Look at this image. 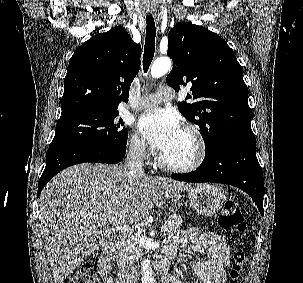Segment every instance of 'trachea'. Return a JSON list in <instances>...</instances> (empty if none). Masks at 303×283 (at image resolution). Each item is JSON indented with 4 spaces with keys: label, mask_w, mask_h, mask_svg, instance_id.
Here are the masks:
<instances>
[{
    "label": "trachea",
    "mask_w": 303,
    "mask_h": 283,
    "mask_svg": "<svg viewBox=\"0 0 303 283\" xmlns=\"http://www.w3.org/2000/svg\"><path fill=\"white\" fill-rule=\"evenodd\" d=\"M146 38L143 54V69L145 73L148 71L149 66L153 60L155 52V37H156V28L155 22L152 17H146Z\"/></svg>",
    "instance_id": "1"
}]
</instances>
